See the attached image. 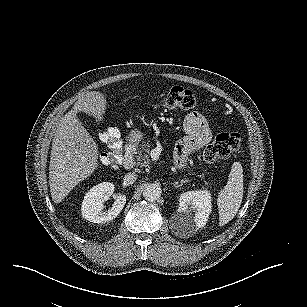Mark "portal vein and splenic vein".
<instances>
[{"instance_id": "obj_1", "label": "portal vein and splenic vein", "mask_w": 307, "mask_h": 307, "mask_svg": "<svg viewBox=\"0 0 307 307\" xmlns=\"http://www.w3.org/2000/svg\"><path fill=\"white\" fill-rule=\"evenodd\" d=\"M150 155L152 158H156L160 155V151L157 148H153L150 150Z\"/></svg>"}]
</instances>
